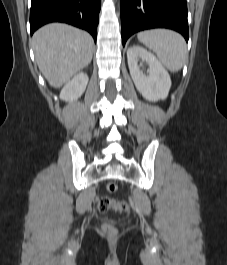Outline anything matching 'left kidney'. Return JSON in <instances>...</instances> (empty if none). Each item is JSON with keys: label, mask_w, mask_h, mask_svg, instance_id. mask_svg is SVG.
<instances>
[{"label": "left kidney", "mask_w": 227, "mask_h": 265, "mask_svg": "<svg viewBox=\"0 0 227 265\" xmlns=\"http://www.w3.org/2000/svg\"><path fill=\"white\" fill-rule=\"evenodd\" d=\"M127 60L132 80L146 100L156 102L167 98L171 79L167 70L152 53L143 47L133 45L127 50ZM140 60L149 65L147 75L138 65Z\"/></svg>", "instance_id": "1"}]
</instances>
